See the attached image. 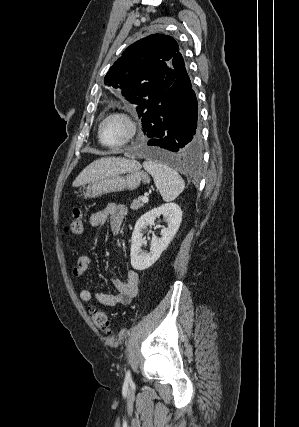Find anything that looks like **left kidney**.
Wrapping results in <instances>:
<instances>
[{
    "label": "left kidney",
    "instance_id": "1",
    "mask_svg": "<svg viewBox=\"0 0 299 427\" xmlns=\"http://www.w3.org/2000/svg\"><path fill=\"white\" fill-rule=\"evenodd\" d=\"M163 216L167 227L161 230V238L153 237L149 253H141V247L145 242L142 231L147 226L154 225L157 217ZM182 221L181 208L175 203H166L150 210L142 215L135 224L131 238V265L136 270H145L151 267L167 249L177 233Z\"/></svg>",
    "mask_w": 299,
    "mask_h": 427
}]
</instances>
